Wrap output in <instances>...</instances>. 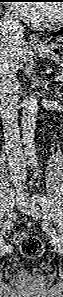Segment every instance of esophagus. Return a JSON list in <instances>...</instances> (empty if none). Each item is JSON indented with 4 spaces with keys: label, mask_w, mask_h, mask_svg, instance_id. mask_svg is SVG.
<instances>
[{
    "label": "esophagus",
    "mask_w": 63,
    "mask_h": 297,
    "mask_svg": "<svg viewBox=\"0 0 63 297\" xmlns=\"http://www.w3.org/2000/svg\"><path fill=\"white\" fill-rule=\"evenodd\" d=\"M29 43L34 48H44V45L40 41L38 35L32 34L29 39Z\"/></svg>",
    "instance_id": "1"
}]
</instances>
